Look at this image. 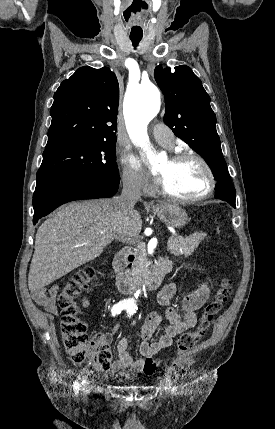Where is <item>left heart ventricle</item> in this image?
Here are the masks:
<instances>
[{
	"label": "left heart ventricle",
	"mask_w": 275,
	"mask_h": 429,
	"mask_svg": "<svg viewBox=\"0 0 275 429\" xmlns=\"http://www.w3.org/2000/svg\"><path fill=\"white\" fill-rule=\"evenodd\" d=\"M157 174L163 186L176 196H199L208 187L207 174L196 160L177 163L166 160L157 167Z\"/></svg>",
	"instance_id": "obj_1"
}]
</instances>
